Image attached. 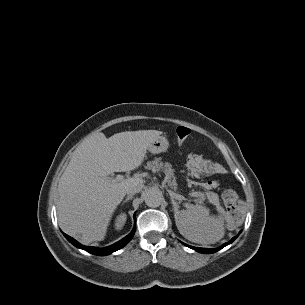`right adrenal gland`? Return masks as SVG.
Masks as SVG:
<instances>
[{"instance_id": "2a0ac1e0", "label": "right adrenal gland", "mask_w": 305, "mask_h": 305, "mask_svg": "<svg viewBox=\"0 0 305 305\" xmlns=\"http://www.w3.org/2000/svg\"><path fill=\"white\" fill-rule=\"evenodd\" d=\"M133 194L128 195L125 200L122 202V204L126 203L128 200H132Z\"/></svg>"}]
</instances>
